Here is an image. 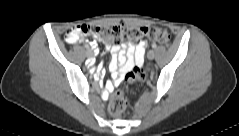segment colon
I'll return each instance as SVG.
<instances>
[{"label":"colon","instance_id":"5ec220e1","mask_svg":"<svg viewBox=\"0 0 239 136\" xmlns=\"http://www.w3.org/2000/svg\"><path fill=\"white\" fill-rule=\"evenodd\" d=\"M95 34L107 42L113 44L118 43L122 38H128L131 41H139L148 38L152 41L160 43H168L170 40L169 33L158 27H136L126 24H117L110 26L96 27ZM92 29L88 25H77L69 29L66 33L67 41L73 43L81 36L89 35ZM146 73V66L141 64L135 66L132 70L126 73L124 80L128 85L144 80ZM127 102L121 91L113 94L109 102V111L113 116H120L126 109Z\"/></svg>","mask_w":239,"mask_h":136}]
</instances>
